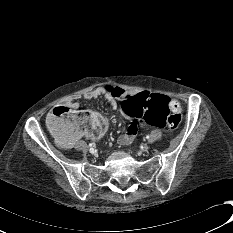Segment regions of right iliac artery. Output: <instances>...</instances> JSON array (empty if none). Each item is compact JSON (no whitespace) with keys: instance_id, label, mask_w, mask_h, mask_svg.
<instances>
[{"instance_id":"right-iliac-artery-1","label":"right iliac artery","mask_w":233,"mask_h":233,"mask_svg":"<svg viewBox=\"0 0 233 233\" xmlns=\"http://www.w3.org/2000/svg\"><path fill=\"white\" fill-rule=\"evenodd\" d=\"M94 144L90 143L89 146L92 147ZM91 150H94L93 148H90Z\"/></svg>"}]
</instances>
